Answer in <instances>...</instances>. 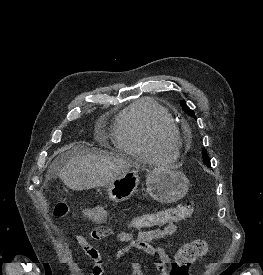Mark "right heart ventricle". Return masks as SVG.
I'll return each instance as SVG.
<instances>
[{
    "instance_id": "right-heart-ventricle-1",
    "label": "right heart ventricle",
    "mask_w": 263,
    "mask_h": 275,
    "mask_svg": "<svg viewBox=\"0 0 263 275\" xmlns=\"http://www.w3.org/2000/svg\"><path fill=\"white\" fill-rule=\"evenodd\" d=\"M158 128H175L170 113L153 99L130 104L117 116L113 131L115 147L129 155L148 159H173L178 147L164 145L154 137Z\"/></svg>"
}]
</instances>
